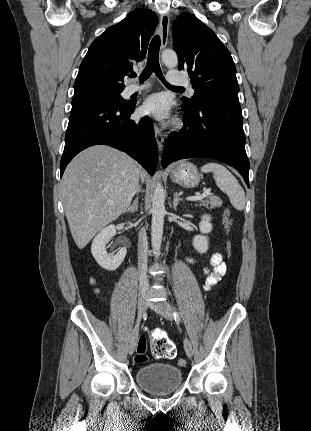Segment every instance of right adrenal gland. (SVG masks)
Segmentation results:
<instances>
[{
  "instance_id": "obj_1",
  "label": "right adrenal gland",
  "mask_w": 311,
  "mask_h": 431,
  "mask_svg": "<svg viewBox=\"0 0 311 431\" xmlns=\"http://www.w3.org/2000/svg\"><path fill=\"white\" fill-rule=\"evenodd\" d=\"M138 210V198H136V200H134V204H132V206H130V208H128V210H125V212H123V214H126V212H129V214H135V212H137Z\"/></svg>"
}]
</instances>
